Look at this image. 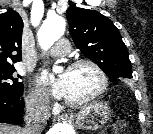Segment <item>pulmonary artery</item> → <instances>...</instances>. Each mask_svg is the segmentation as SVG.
Returning <instances> with one entry per match:
<instances>
[{
  "instance_id": "pulmonary-artery-1",
  "label": "pulmonary artery",
  "mask_w": 153,
  "mask_h": 134,
  "mask_svg": "<svg viewBox=\"0 0 153 134\" xmlns=\"http://www.w3.org/2000/svg\"><path fill=\"white\" fill-rule=\"evenodd\" d=\"M70 51V44L66 39L59 40L54 47L42 54L43 57H62Z\"/></svg>"
}]
</instances>
